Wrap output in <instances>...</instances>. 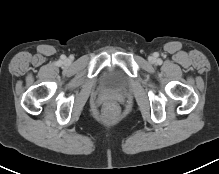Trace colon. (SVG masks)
Returning a JSON list of instances; mask_svg holds the SVG:
<instances>
[{"label": "colon", "mask_w": 219, "mask_h": 174, "mask_svg": "<svg viewBox=\"0 0 219 174\" xmlns=\"http://www.w3.org/2000/svg\"><path fill=\"white\" fill-rule=\"evenodd\" d=\"M103 116L108 121H114L118 118L120 107L116 102H107L102 109Z\"/></svg>", "instance_id": "1"}]
</instances>
